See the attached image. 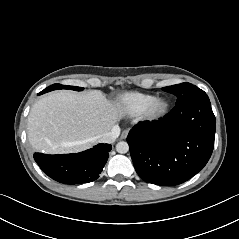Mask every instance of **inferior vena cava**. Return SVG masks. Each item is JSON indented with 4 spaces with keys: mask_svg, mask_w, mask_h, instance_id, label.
<instances>
[{
    "mask_svg": "<svg viewBox=\"0 0 239 239\" xmlns=\"http://www.w3.org/2000/svg\"><path fill=\"white\" fill-rule=\"evenodd\" d=\"M120 134V127L114 126L111 131L101 134L98 141L101 143H113Z\"/></svg>",
    "mask_w": 239,
    "mask_h": 239,
    "instance_id": "1",
    "label": "inferior vena cava"
}]
</instances>
